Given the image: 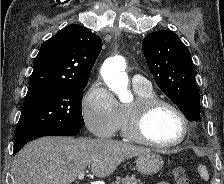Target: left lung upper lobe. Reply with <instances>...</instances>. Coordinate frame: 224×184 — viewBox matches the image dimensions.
<instances>
[{"mask_svg":"<svg viewBox=\"0 0 224 184\" xmlns=\"http://www.w3.org/2000/svg\"><path fill=\"white\" fill-rule=\"evenodd\" d=\"M142 49L150 69L163 93L191 121L200 119V96L189 49L170 30L147 35Z\"/></svg>","mask_w":224,"mask_h":184,"instance_id":"5c2ea615","label":"left lung upper lobe"}]
</instances>
